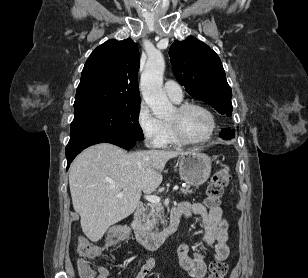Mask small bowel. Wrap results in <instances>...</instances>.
Listing matches in <instances>:
<instances>
[{
    "mask_svg": "<svg viewBox=\"0 0 308 278\" xmlns=\"http://www.w3.org/2000/svg\"><path fill=\"white\" fill-rule=\"evenodd\" d=\"M174 211L180 217L189 218L192 215H198L202 219L204 232L200 238L201 245L207 246L215 244V259L224 261L229 254L228 223L222 216L220 207L207 208L198 202H182L178 204ZM177 255L180 266L188 271L192 278H204L207 266L205 262V250L201 248L194 253H189V247L186 243L179 245ZM154 267V260L148 259L136 274L135 278H146ZM108 270L104 267L99 268V274L96 278H107Z\"/></svg>",
    "mask_w": 308,
    "mask_h": 278,
    "instance_id": "1",
    "label": "small bowel"
}]
</instances>
